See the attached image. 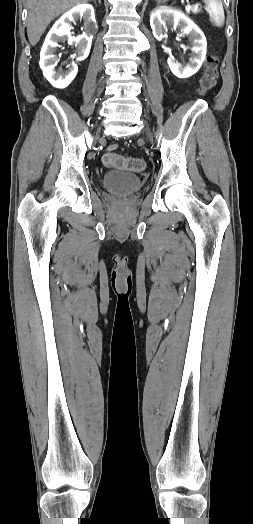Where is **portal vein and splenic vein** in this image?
Listing matches in <instances>:
<instances>
[{
	"instance_id": "portal-vein-and-splenic-vein-1",
	"label": "portal vein and splenic vein",
	"mask_w": 253,
	"mask_h": 524,
	"mask_svg": "<svg viewBox=\"0 0 253 524\" xmlns=\"http://www.w3.org/2000/svg\"><path fill=\"white\" fill-rule=\"evenodd\" d=\"M185 8H186V11H187L188 13H189L190 11L198 12V7H197V6H193V7H191L189 4H187V5L185 6ZM207 11H208V10H207Z\"/></svg>"
}]
</instances>
